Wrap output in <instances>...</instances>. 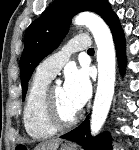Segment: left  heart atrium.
Listing matches in <instances>:
<instances>
[{
  "label": "left heart atrium",
  "instance_id": "39dd6f15",
  "mask_svg": "<svg viewBox=\"0 0 139 150\" xmlns=\"http://www.w3.org/2000/svg\"><path fill=\"white\" fill-rule=\"evenodd\" d=\"M63 88L70 102L78 110L86 104L91 95V84L84 69L68 70Z\"/></svg>",
  "mask_w": 139,
  "mask_h": 150
}]
</instances>
